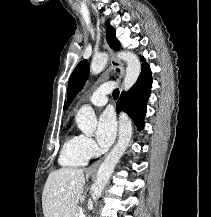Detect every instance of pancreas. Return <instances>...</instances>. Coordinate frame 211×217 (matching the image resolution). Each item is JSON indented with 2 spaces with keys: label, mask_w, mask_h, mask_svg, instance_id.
Here are the masks:
<instances>
[{
  "label": "pancreas",
  "mask_w": 211,
  "mask_h": 217,
  "mask_svg": "<svg viewBox=\"0 0 211 217\" xmlns=\"http://www.w3.org/2000/svg\"><path fill=\"white\" fill-rule=\"evenodd\" d=\"M79 214H80V210L78 208H76L72 217H79Z\"/></svg>",
  "instance_id": "pancreas-1"
}]
</instances>
